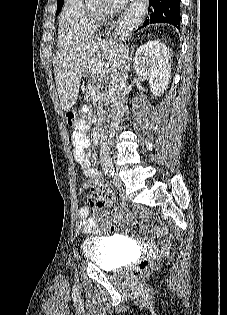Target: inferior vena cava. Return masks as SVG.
Returning a JSON list of instances; mask_svg holds the SVG:
<instances>
[{
    "mask_svg": "<svg viewBox=\"0 0 227 315\" xmlns=\"http://www.w3.org/2000/svg\"><path fill=\"white\" fill-rule=\"evenodd\" d=\"M126 51L119 57L117 64L115 65L111 75V90H112V120L109 127V138L112 139L116 132L119 130L120 119L123 115L122 108L124 105V98L127 93L126 83L130 69L126 62ZM102 166L104 168H112V163L101 159Z\"/></svg>",
    "mask_w": 227,
    "mask_h": 315,
    "instance_id": "1",
    "label": "inferior vena cava"
}]
</instances>
